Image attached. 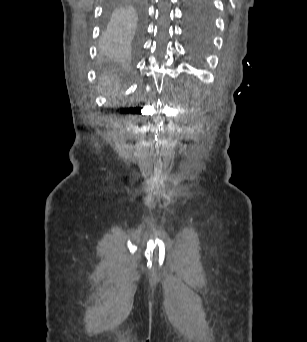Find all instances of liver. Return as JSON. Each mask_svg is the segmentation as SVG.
<instances>
[{"label":"liver","mask_w":307,"mask_h":342,"mask_svg":"<svg viewBox=\"0 0 307 342\" xmlns=\"http://www.w3.org/2000/svg\"><path fill=\"white\" fill-rule=\"evenodd\" d=\"M105 80H107V82H105L104 86H107V84H110L108 78H105Z\"/></svg>","instance_id":"1"}]
</instances>
